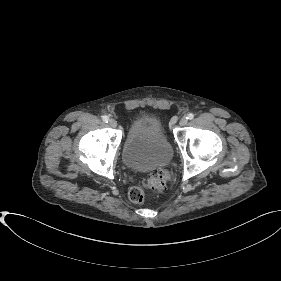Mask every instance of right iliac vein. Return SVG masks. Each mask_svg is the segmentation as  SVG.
<instances>
[{"label":"right iliac vein","mask_w":281,"mask_h":281,"mask_svg":"<svg viewBox=\"0 0 281 281\" xmlns=\"http://www.w3.org/2000/svg\"><path fill=\"white\" fill-rule=\"evenodd\" d=\"M109 125L112 127V128H116L117 127V121L115 119H110L109 120Z\"/></svg>","instance_id":"1"}]
</instances>
